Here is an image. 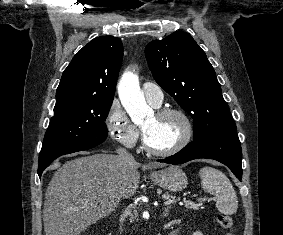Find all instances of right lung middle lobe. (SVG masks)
Masks as SVG:
<instances>
[{
  "label": "right lung middle lobe",
  "instance_id": "1",
  "mask_svg": "<svg viewBox=\"0 0 283 235\" xmlns=\"http://www.w3.org/2000/svg\"><path fill=\"white\" fill-rule=\"evenodd\" d=\"M113 99L74 97L56 102L54 116L45 133L39 161L77 142L106 138L104 121Z\"/></svg>",
  "mask_w": 283,
  "mask_h": 235
}]
</instances>
